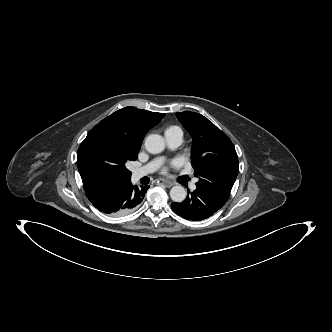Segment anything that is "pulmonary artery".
<instances>
[{"label":"pulmonary artery","instance_id":"1","mask_svg":"<svg viewBox=\"0 0 332 332\" xmlns=\"http://www.w3.org/2000/svg\"><path fill=\"white\" fill-rule=\"evenodd\" d=\"M165 138H166L167 144L170 148H176L182 143V133H180V132H175V133L165 135ZM159 165H160V160L156 159V160L150 162L149 164L145 165L144 167L135 170L132 175L133 179L138 180L141 177L155 171L159 167ZM191 189L192 190L196 189L195 182H193L191 184Z\"/></svg>","mask_w":332,"mask_h":332}]
</instances>
